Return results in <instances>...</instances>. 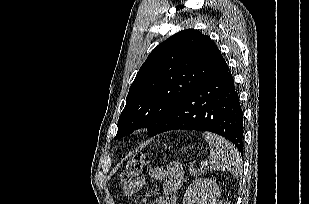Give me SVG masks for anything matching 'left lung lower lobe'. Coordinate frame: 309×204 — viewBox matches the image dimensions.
Instances as JSON below:
<instances>
[{"label":"left lung lower lobe","mask_w":309,"mask_h":204,"mask_svg":"<svg viewBox=\"0 0 309 204\" xmlns=\"http://www.w3.org/2000/svg\"><path fill=\"white\" fill-rule=\"evenodd\" d=\"M177 129L216 133L243 153V112L226 61L184 98L151 136Z\"/></svg>","instance_id":"obj_1"}]
</instances>
